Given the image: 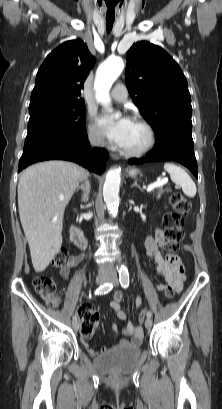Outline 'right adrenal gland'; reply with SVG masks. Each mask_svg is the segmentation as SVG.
<instances>
[{"mask_svg": "<svg viewBox=\"0 0 222 409\" xmlns=\"http://www.w3.org/2000/svg\"><path fill=\"white\" fill-rule=\"evenodd\" d=\"M79 191L82 192L81 202L86 201L88 199V195H89V191H88V188H87V182H85L84 184H81L80 186H78L76 188V192H79Z\"/></svg>", "mask_w": 222, "mask_h": 409, "instance_id": "1", "label": "right adrenal gland"}]
</instances>
